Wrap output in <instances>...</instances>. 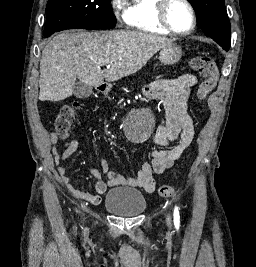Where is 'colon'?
<instances>
[{
	"mask_svg": "<svg viewBox=\"0 0 256 267\" xmlns=\"http://www.w3.org/2000/svg\"><path fill=\"white\" fill-rule=\"evenodd\" d=\"M192 69L204 77V81L198 86L196 99L199 103L213 92L218 80V68L215 60L207 56H199L190 60ZM77 105H67L58 111L54 120V129L60 136H67L70 132V124L78 112ZM176 191L173 185H160L157 192L162 197H170Z\"/></svg>",
	"mask_w": 256,
	"mask_h": 267,
	"instance_id": "1",
	"label": "colon"
}]
</instances>
